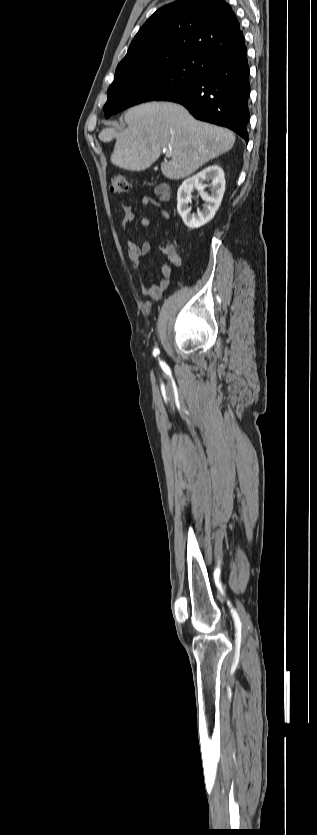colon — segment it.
<instances>
[{
    "mask_svg": "<svg viewBox=\"0 0 317 835\" xmlns=\"http://www.w3.org/2000/svg\"><path fill=\"white\" fill-rule=\"evenodd\" d=\"M110 190L115 194L127 193L132 190V184L125 176L116 174L111 178Z\"/></svg>",
    "mask_w": 317,
    "mask_h": 835,
    "instance_id": "obj_1",
    "label": "colon"
}]
</instances>
